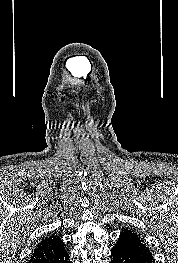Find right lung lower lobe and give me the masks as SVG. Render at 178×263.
I'll list each match as a JSON object with an SVG mask.
<instances>
[{"label": "right lung lower lobe", "instance_id": "right-lung-lower-lobe-1", "mask_svg": "<svg viewBox=\"0 0 178 263\" xmlns=\"http://www.w3.org/2000/svg\"><path fill=\"white\" fill-rule=\"evenodd\" d=\"M46 263H71V262L68 252L64 250L63 252L59 253L57 256L50 259Z\"/></svg>", "mask_w": 178, "mask_h": 263}]
</instances>
